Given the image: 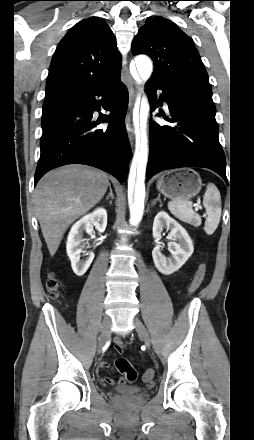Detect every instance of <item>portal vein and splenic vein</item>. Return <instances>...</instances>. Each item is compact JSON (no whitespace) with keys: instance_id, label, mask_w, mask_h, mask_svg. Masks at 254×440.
<instances>
[{"instance_id":"1","label":"portal vein and splenic vein","mask_w":254,"mask_h":440,"mask_svg":"<svg viewBox=\"0 0 254 440\" xmlns=\"http://www.w3.org/2000/svg\"><path fill=\"white\" fill-rule=\"evenodd\" d=\"M199 209H201V207L199 205H196L195 210L198 211Z\"/></svg>"}]
</instances>
